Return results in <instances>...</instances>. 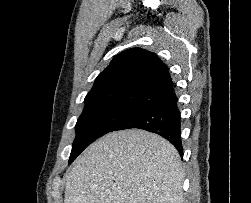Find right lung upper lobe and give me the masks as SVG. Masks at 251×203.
<instances>
[{
	"label": "right lung upper lobe",
	"instance_id": "right-lung-upper-lobe-1",
	"mask_svg": "<svg viewBox=\"0 0 251 203\" xmlns=\"http://www.w3.org/2000/svg\"><path fill=\"white\" fill-rule=\"evenodd\" d=\"M174 94L167 66L152 52L132 48L114 57L85 97V106L129 105L141 109Z\"/></svg>",
	"mask_w": 251,
	"mask_h": 203
}]
</instances>
